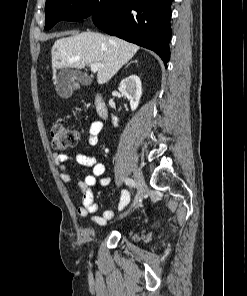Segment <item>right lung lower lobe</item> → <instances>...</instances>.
Listing matches in <instances>:
<instances>
[{"label": "right lung lower lobe", "instance_id": "98d812e1", "mask_svg": "<svg viewBox=\"0 0 247 296\" xmlns=\"http://www.w3.org/2000/svg\"><path fill=\"white\" fill-rule=\"evenodd\" d=\"M173 0H111L104 12L94 13V24L117 36L170 59V18Z\"/></svg>", "mask_w": 247, "mask_h": 296}]
</instances>
